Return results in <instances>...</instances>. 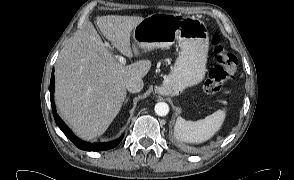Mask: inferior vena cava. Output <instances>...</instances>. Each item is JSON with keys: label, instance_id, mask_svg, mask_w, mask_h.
<instances>
[{"label": "inferior vena cava", "instance_id": "602c4592", "mask_svg": "<svg viewBox=\"0 0 294 180\" xmlns=\"http://www.w3.org/2000/svg\"><path fill=\"white\" fill-rule=\"evenodd\" d=\"M144 83L140 78L130 79L126 84V89L131 93L140 92L143 89Z\"/></svg>", "mask_w": 294, "mask_h": 180}]
</instances>
